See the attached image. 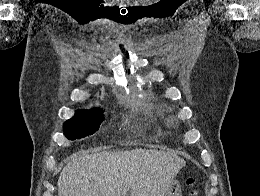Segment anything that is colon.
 <instances>
[{"instance_id":"1","label":"colon","mask_w":260,"mask_h":196,"mask_svg":"<svg viewBox=\"0 0 260 196\" xmlns=\"http://www.w3.org/2000/svg\"><path fill=\"white\" fill-rule=\"evenodd\" d=\"M187 184H188L189 186H191L192 188H194V187L196 186V184H197L196 179H195V178H188V179H187ZM190 196H198L197 190L194 189V190L190 193Z\"/></svg>"}]
</instances>
